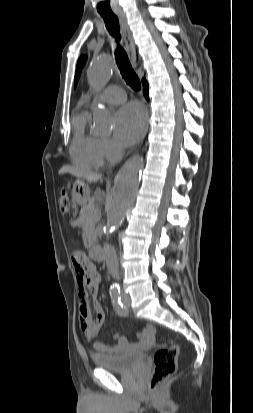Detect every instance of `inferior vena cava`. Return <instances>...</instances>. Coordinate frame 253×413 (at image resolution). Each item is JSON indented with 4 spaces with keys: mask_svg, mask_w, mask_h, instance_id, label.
Instances as JSON below:
<instances>
[{
    "mask_svg": "<svg viewBox=\"0 0 253 413\" xmlns=\"http://www.w3.org/2000/svg\"><path fill=\"white\" fill-rule=\"evenodd\" d=\"M104 253L106 256L107 267L113 278L119 279V264L116 252L109 244H104Z\"/></svg>",
    "mask_w": 253,
    "mask_h": 413,
    "instance_id": "1",
    "label": "inferior vena cava"
}]
</instances>
